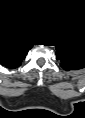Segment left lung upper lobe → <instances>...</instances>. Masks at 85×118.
<instances>
[{
    "instance_id": "5c2ea615",
    "label": "left lung upper lobe",
    "mask_w": 85,
    "mask_h": 118,
    "mask_svg": "<svg viewBox=\"0 0 85 118\" xmlns=\"http://www.w3.org/2000/svg\"><path fill=\"white\" fill-rule=\"evenodd\" d=\"M59 58L61 59V66L66 69H73V65L71 64L72 62V56L71 53L68 52L65 49H59L58 50Z\"/></svg>"
}]
</instances>
